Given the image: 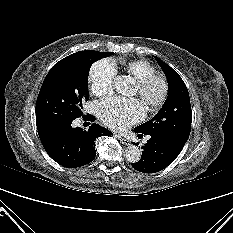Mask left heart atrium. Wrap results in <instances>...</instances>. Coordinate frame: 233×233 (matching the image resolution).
Listing matches in <instances>:
<instances>
[{
	"label": "left heart atrium",
	"instance_id": "obj_1",
	"mask_svg": "<svg viewBox=\"0 0 233 233\" xmlns=\"http://www.w3.org/2000/svg\"><path fill=\"white\" fill-rule=\"evenodd\" d=\"M96 112L105 125L123 130L129 125L139 122L144 117L145 108L138 99L114 96L99 101Z\"/></svg>",
	"mask_w": 233,
	"mask_h": 233
}]
</instances>
